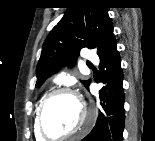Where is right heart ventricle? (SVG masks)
<instances>
[{
    "label": "right heart ventricle",
    "instance_id": "e07e8e85",
    "mask_svg": "<svg viewBox=\"0 0 155 141\" xmlns=\"http://www.w3.org/2000/svg\"><path fill=\"white\" fill-rule=\"evenodd\" d=\"M37 113V111H36ZM36 113H35V116H34V134H35V137L38 141H42L43 138L40 136L38 130H37V126H36Z\"/></svg>",
    "mask_w": 155,
    "mask_h": 141
}]
</instances>
